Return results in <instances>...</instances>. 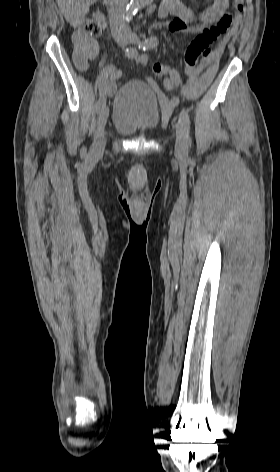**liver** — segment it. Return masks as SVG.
Listing matches in <instances>:
<instances>
[{
	"mask_svg": "<svg viewBox=\"0 0 280 472\" xmlns=\"http://www.w3.org/2000/svg\"><path fill=\"white\" fill-rule=\"evenodd\" d=\"M97 0H56L57 5L71 26L77 27L84 21L90 5Z\"/></svg>",
	"mask_w": 280,
	"mask_h": 472,
	"instance_id": "6515ba94",
	"label": "liver"
}]
</instances>
